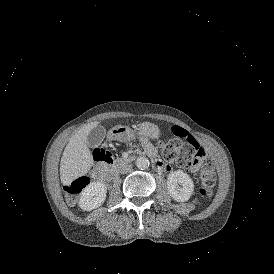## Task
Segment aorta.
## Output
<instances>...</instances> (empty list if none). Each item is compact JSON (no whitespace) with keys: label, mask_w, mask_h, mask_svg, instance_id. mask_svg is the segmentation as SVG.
I'll return each mask as SVG.
<instances>
[{"label":"aorta","mask_w":274,"mask_h":274,"mask_svg":"<svg viewBox=\"0 0 274 274\" xmlns=\"http://www.w3.org/2000/svg\"><path fill=\"white\" fill-rule=\"evenodd\" d=\"M135 165L138 169H141V170L147 169L149 167V160L144 156L138 157L135 160Z\"/></svg>","instance_id":"obj_1"}]
</instances>
